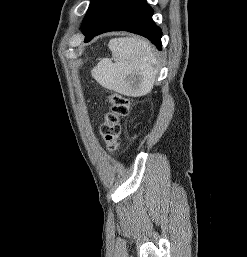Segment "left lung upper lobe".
<instances>
[{"mask_svg":"<svg viewBox=\"0 0 247 257\" xmlns=\"http://www.w3.org/2000/svg\"><path fill=\"white\" fill-rule=\"evenodd\" d=\"M96 2H97V0H91L89 9H88V11H87V13H86V15H85V17L83 19L82 28L85 25V23H86V21H87V19H88V17H89V15H90V13H91V11H92V9H93V7H94Z\"/></svg>","mask_w":247,"mask_h":257,"instance_id":"5c2ea615","label":"left lung upper lobe"}]
</instances>
